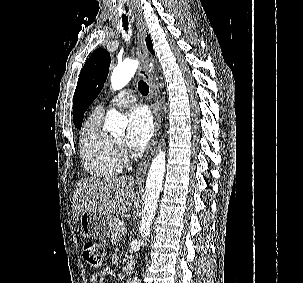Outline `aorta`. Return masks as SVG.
Returning a JSON list of instances; mask_svg holds the SVG:
<instances>
[{
	"label": "aorta",
	"instance_id": "1",
	"mask_svg": "<svg viewBox=\"0 0 303 283\" xmlns=\"http://www.w3.org/2000/svg\"><path fill=\"white\" fill-rule=\"evenodd\" d=\"M138 61L127 59L123 63L114 68L111 74V87L114 91L125 87L131 78L134 76ZM127 126V119L119 112L112 109L107 113L105 119V128L112 133H121ZM166 167L165 151L159 150V153L154 157L146 180L144 193V207L141 215L140 234L142 237V244L150 235L151 225L154 220L159 195L162 190V183ZM131 283H139V279L135 277Z\"/></svg>",
	"mask_w": 303,
	"mask_h": 283
}]
</instances>
